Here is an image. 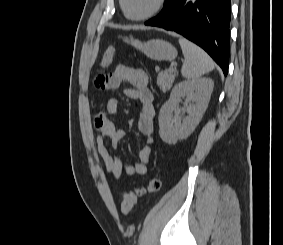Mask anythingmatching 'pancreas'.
<instances>
[{
  "label": "pancreas",
  "instance_id": "obj_1",
  "mask_svg": "<svg viewBox=\"0 0 283 245\" xmlns=\"http://www.w3.org/2000/svg\"><path fill=\"white\" fill-rule=\"evenodd\" d=\"M176 74L170 71H162L158 73L157 84L161 90L167 91L171 88Z\"/></svg>",
  "mask_w": 283,
  "mask_h": 245
}]
</instances>
